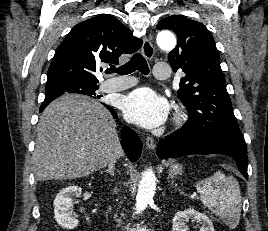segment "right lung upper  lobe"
<instances>
[{"mask_svg": "<svg viewBox=\"0 0 268 231\" xmlns=\"http://www.w3.org/2000/svg\"><path fill=\"white\" fill-rule=\"evenodd\" d=\"M142 46L117 18L100 15L85 20L69 32L58 46L47 73V83L74 81L97 84L94 73L99 64H118L123 53L131 54ZM52 99H45L44 109Z\"/></svg>", "mask_w": 268, "mask_h": 231, "instance_id": "1", "label": "right lung upper lobe"}]
</instances>
